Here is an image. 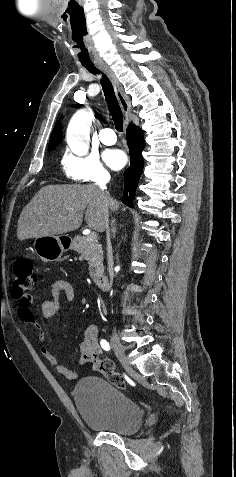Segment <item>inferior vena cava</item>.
Returning a JSON list of instances; mask_svg holds the SVG:
<instances>
[{
  "label": "inferior vena cava",
  "mask_w": 236,
  "mask_h": 477,
  "mask_svg": "<svg viewBox=\"0 0 236 477\" xmlns=\"http://www.w3.org/2000/svg\"><path fill=\"white\" fill-rule=\"evenodd\" d=\"M107 180H103L99 182L97 185L99 186L100 191L103 194V229L106 230V238H107V264H108V271H109V276H110V283L112 284L113 280V254H112V246H111V240H110V230H109V215H108V209H109V199L108 195L104 192L106 189V184Z\"/></svg>",
  "instance_id": "obj_1"
}]
</instances>
